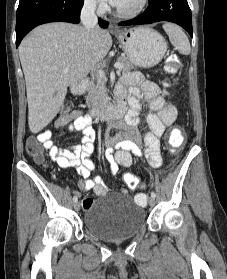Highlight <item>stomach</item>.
I'll use <instances>...</instances> for the list:
<instances>
[{"instance_id": "obj_1", "label": "stomach", "mask_w": 227, "mask_h": 279, "mask_svg": "<svg viewBox=\"0 0 227 279\" xmlns=\"http://www.w3.org/2000/svg\"><path fill=\"white\" fill-rule=\"evenodd\" d=\"M127 59L142 68L157 65L164 57L167 43L160 33L148 28L137 27L116 33Z\"/></svg>"}]
</instances>
